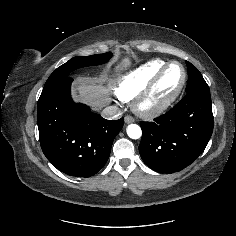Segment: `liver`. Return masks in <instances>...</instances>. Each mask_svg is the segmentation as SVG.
Segmentation results:
<instances>
[{
    "label": "liver",
    "mask_w": 236,
    "mask_h": 236,
    "mask_svg": "<svg viewBox=\"0 0 236 236\" xmlns=\"http://www.w3.org/2000/svg\"><path fill=\"white\" fill-rule=\"evenodd\" d=\"M123 65L130 63L129 58H124ZM108 90L101 85L100 81L89 77H78L73 88L75 101L84 102L94 109L100 108L108 102Z\"/></svg>",
    "instance_id": "liver-1"
}]
</instances>
